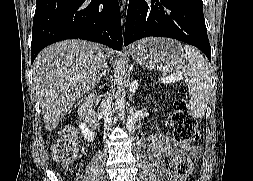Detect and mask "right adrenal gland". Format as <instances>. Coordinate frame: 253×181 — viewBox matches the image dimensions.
<instances>
[{
    "instance_id": "2a0ac1e0",
    "label": "right adrenal gland",
    "mask_w": 253,
    "mask_h": 181,
    "mask_svg": "<svg viewBox=\"0 0 253 181\" xmlns=\"http://www.w3.org/2000/svg\"><path fill=\"white\" fill-rule=\"evenodd\" d=\"M109 74V69H108V66H106L104 72L102 73L101 77H105L106 75Z\"/></svg>"
}]
</instances>
